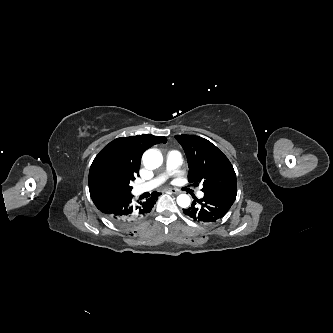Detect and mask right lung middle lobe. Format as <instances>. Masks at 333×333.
Wrapping results in <instances>:
<instances>
[{"instance_id": "right-lung-middle-lobe-1", "label": "right lung middle lobe", "mask_w": 333, "mask_h": 333, "mask_svg": "<svg viewBox=\"0 0 333 333\" xmlns=\"http://www.w3.org/2000/svg\"><path fill=\"white\" fill-rule=\"evenodd\" d=\"M136 173L113 162H103L93 171V181L97 188L130 193V183L135 180Z\"/></svg>"}]
</instances>
